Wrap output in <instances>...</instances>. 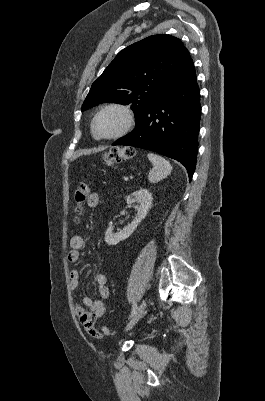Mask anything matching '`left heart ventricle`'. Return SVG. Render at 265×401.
<instances>
[{"instance_id":"left-heart-ventricle-1","label":"left heart ventricle","mask_w":265,"mask_h":401,"mask_svg":"<svg viewBox=\"0 0 265 401\" xmlns=\"http://www.w3.org/2000/svg\"><path fill=\"white\" fill-rule=\"evenodd\" d=\"M122 121L123 116L119 111H107L97 119L95 133L103 137L113 135L121 127Z\"/></svg>"}]
</instances>
